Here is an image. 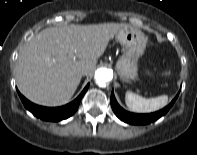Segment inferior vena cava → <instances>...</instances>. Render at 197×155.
<instances>
[{
    "label": "inferior vena cava",
    "mask_w": 197,
    "mask_h": 155,
    "mask_svg": "<svg viewBox=\"0 0 197 155\" xmlns=\"http://www.w3.org/2000/svg\"><path fill=\"white\" fill-rule=\"evenodd\" d=\"M79 75L80 76H85V75H87V71L86 70H80Z\"/></svg>",
    "instance_id": "inferior-vena-cava-1"
}]
</instances>
